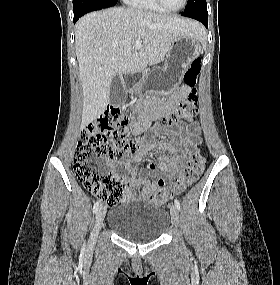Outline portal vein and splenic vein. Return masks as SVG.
Listing matches in <instances>:
<instances>
[{
	"label": "portal vein and splenic vein",
	"instance_id": "1",
	"mask_svg": "<svg viewBox=\"0 0 280 285\" xmlns=\"http://www.w3.org/2000/svg\"><path fill=\"white\" fill-rule=\"evenodd\" d=\"M142 47V43L140 41L135 42V49L138 50Z\"/></svg>",
	"mask_w": 280,
	"mask_h": 285
}]
</instances>
